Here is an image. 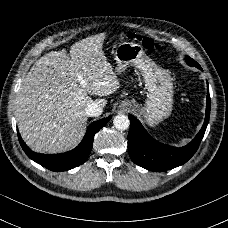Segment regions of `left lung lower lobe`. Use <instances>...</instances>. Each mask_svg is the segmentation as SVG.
Masks as SVG:
<instances>
[{
	"instance_id": "left-lung-lower-lobe-1",
	"label": "left lung lower lobe",
	"mask_w": 228,
	"mask_h": 228,
	"mask_svg": "<svg viewBox=\"0 0 228 228\" xmlns=\"http://www.w3.org/2000/svg\"><path fill=\"white\" fill-rule=\"evenodd\" d=\"M210 106L208 88L204 124L196 137L189 144L180 148L156 141L135 117L129 115L128 152L131 160L145 169L156 172L170 170L186 163L195 154L204 136L209 121Z\"/></svg>"
}]
</instances>
